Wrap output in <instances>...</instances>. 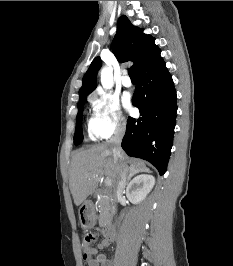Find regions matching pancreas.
Here are the masks:
<instances>
[{
	"mask_svg": "<svg viewBox=\"0 0 233 266\" xmlns=\"http://www.w3.org/2000/svg\"><path fill=\"white\" fill-rule=\"evenodd\" d=\"M97 204L100 212L99 222L102 224L104 223L105 217L109 214L112 204L106 196L101 197L100 200L97 201Z\"/></svg>",
	"mask_w": 233,
	"mask_h": 266,
	"instance_id": "cf45deb5",
	"label": "pancreas"
}]
</instances>
